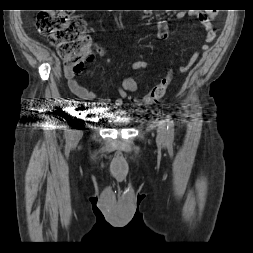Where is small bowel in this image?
Masks as SVG:
<instances>
[{"label": "small bowel", "instance_id": "c3829d8e", "mask_svg": "<svg viewBox=\"0 0 253 253\" xmlns=\"http://www.w3.org/2000/svg\"><path fill=\"white\" fill-rule=\"evenodd\" d=\"M193 16L199 24L204 28L205 35L204 39L206 43H210L215 39V31L212 26V17L213 13H205V12H180L177 15V18L182 20L187 17V15ZM156 29H157V37L161 42L167 40L169 35V26L168 22L165 19H159L156 22ZM202 50L207 51L209 49L208 44H203L201 46ZM95 53L99 57H104L105 52L100 47H95ZM198 59V53H194L193 56L190 58L187 65L181 67V71L185 72L192 66L196 60ZM148 66L147 62L145 61H136L131 64V70L136 72L141 69H145ZM64 74L68 81V85L70 90L79 98L83 100H96L99 101L101 104H110L113 103L115 107H121L123 105L124 100L127 98L129 93L136 92L138 90V85L134 75L126 76L121 86L117 88L119 97L112 100L110 98H102L97 92L90 91L86 89L76 78L75 74L69 69L67 66L64 67Z\"/></svg>", "mask_w": 253, "mask_h": 253}]
</instances>
